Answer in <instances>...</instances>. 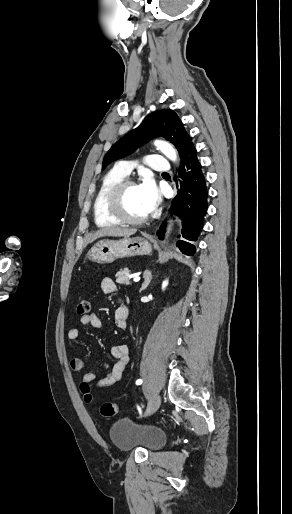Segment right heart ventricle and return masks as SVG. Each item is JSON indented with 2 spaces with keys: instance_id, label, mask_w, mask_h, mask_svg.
<instances>
[{
  "instance_id": "right-heart-ventricle-1",
  "label": "right heart ventricle",
  "mask_w": 292,
  "mask_h": 514,
  "mask_svg": "<svg viewBox=\"0 0 292 514\" xmlns=\"http://www.w3.org/2000/svg\"><path fill=\"white\" fill-rule=\"evenodd\" d=\"M125 178L126 177L121 176L116 170L110 171L103 177L99 187L94 194L92 204L94 221L98 227H110L117 223L106 213L104 207V197L106 192L111 187L120 181L125 180Z\"/></svg>"
}]
</instances>
